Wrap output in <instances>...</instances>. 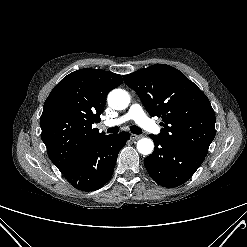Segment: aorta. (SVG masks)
<instances>
[{
  "label": "aorta",
  "instance_id": "1",
  "mask_svg": "<svg viewBox=\"0 0 247 247\" xmlns=\"http://www.w3.org/2000/svg\"><path fill=\"white\" fill-rule=\"evenodd\" d=\"M107 101L113 109L123 110L130 103V95L123 89H114L109 93ZM137 150L143 155H149L154 150V143L150 138H142L137 142Z\"/></svg>",
  "mask_w": 247,
  "mask_h": 247
}]
</instances>
